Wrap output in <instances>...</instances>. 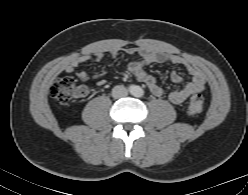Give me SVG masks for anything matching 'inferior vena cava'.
I'll return each mask as SVG.
<instances>
[{
  "instance_id": "602c4592",
  "label": "inferior vena cava",
  "mask_w": 248,
  "mask_h": 195,
  "mask_svg": "<svg viewBox=\"0 0 248 195\" xmlns=\"http://www.w3.org/2000/svg\"><path fill=\"white\" fill-rule=\"evenodd\" d=\"M127 95H128V90L122 85L115 86L112 89V97L115 99L123 98L126 97Z\"/></svg>"
}]
</instances>
